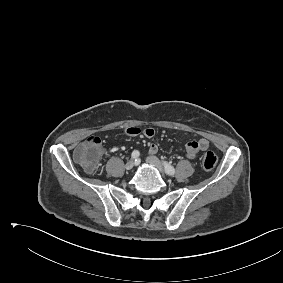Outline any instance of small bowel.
Here are the masks:
<instances>
[{
  "mask_svg": "<svg viewBox=\"0 0 283 283\" xmlns=\"http://www.w3.org/2000/svg\"><path fill=\"white\" fill-rule=\"evenodd\" d=\"M124 132L129 136H138L140 134L144 135L145 137L151 138L154 136L155 131L152 128H146L141 130L138 127H127L124 129ZM209 147V142L205 138H200L197 140H193L188 142L185 145V154L188 158L193 159L197 156L200 151H204ZM158 151V146L152 143L149 146V154H156Z\"/></svg>",
  "mask_w": 283,
  "mask_h": 283,
  "instance_id": "1",
  "label": "small bowel"
}]
</instances>
